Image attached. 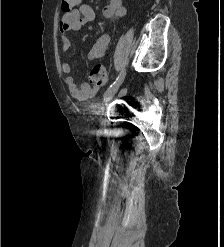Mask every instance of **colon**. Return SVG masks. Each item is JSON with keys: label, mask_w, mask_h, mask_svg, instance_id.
<instances>
[{"label": "colon", "mask_w": 224, "mask_h": 247, "mask_svg": "<svg viewBox=\"0 0 224 247\" xmlns=\"http://www.w3.org/2000/svg\"><path fill=\"white\" fill-rule=\"evenodd\" d=\"M82 0H62L61 9L64 13L71 12L75 6L79 5ZM91 81L95 84H104L106 82V71L101 65H95L91 70Z\"/></svg>", "instance_id": "1"}]
</instances>
